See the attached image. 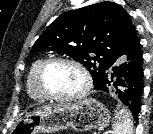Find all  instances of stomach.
I'll return each mask as SVG.
<instances>
[{"label":"stomach","instance_id":"obj_1","mask_svg":"<svg viewBox=\"0 0 153 134\" xmlns=\"http://www.w3.org/2000/svg\"><path fill=\"white\" fill-rule=\"evenodd\" d=\"M109 113L99 101L85 99L75 104L50 105L38 108L18 121L14 134H53L65 129L85 132L103 128Z\"/></svg>","mask_w":153,"mask_h":134}]
</instances>
